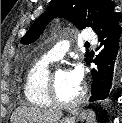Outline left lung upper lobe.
Here are the masks:
<instances>
[{"label": "left lung upper lobe", "mask_w": 122, "mask_h": 123, "mask_svg": "<svg viewBox=\"0 0 122 123\" xmlns=\"http://www.w3.org/2000/svg\"><path fill=\"white\" fill-rule=\"evenodd\" d=\"M113 14L114 8L109 0H52L49 8L23 36L21 43L35 41L55 17L66 18L79 29L91 27L98 33ZM85 57L86 61L90 52H86Z\"/></svg>", "instance_id": "1"}]
</instances>
